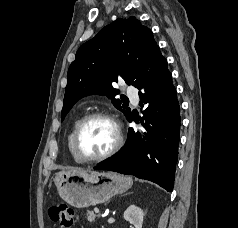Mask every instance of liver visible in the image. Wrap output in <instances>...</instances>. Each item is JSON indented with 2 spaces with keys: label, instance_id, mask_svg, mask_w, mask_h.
<instances>
[{
  "label": "liver",
  "instance_id": "1",
  "mask_svg": "<svg viewBox=\"0 0 238 228\" xmlns=\"http://www.w3.org/2000/svg\"><path fill=\"white\" fill-rule=\"evenodd\" d=\"M69 171H74V172H83L82 169H71V170H69Z\"/></svg>",
  "mask_w": 238,
  "mask_h": 228
}]
</instances>
